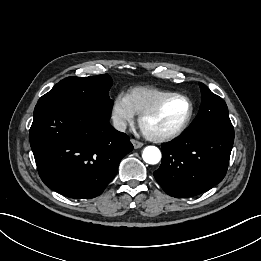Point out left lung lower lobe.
Masks as SVG:
<instances>
[{
	"label": "left lung lower lobe",
	"mask_w": 261,
	"mask_h": 261,
	"mask_svg": "<svg viewBox=\"0 0 261 261\" xmlns=\"http://www.w3.org/2000/svg\"><path fill=\"white\" fill-rule=\"evenodd\" d=\"M233 142L232 125L185 131L162 145V163L154 177L176 198L203 193L224 178Z\"/></svg>",
	"instance_id": "1"
}]
</instances>
